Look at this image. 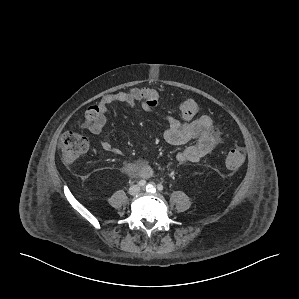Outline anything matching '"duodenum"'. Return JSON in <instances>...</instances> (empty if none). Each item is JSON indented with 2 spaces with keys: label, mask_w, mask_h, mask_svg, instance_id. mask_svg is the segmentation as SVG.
<instances>
[{
  "label": "duodenum",
  "mask_w": 299,
  "mask_h": 299,
  "mask_svg": "<svg viewBox=\"0 0 299 299\" xmlns=\"http://www.w3.org/2000/svg\"><path fill=\"white\" fill-rule=\"evenodd\" d=\"M126 171L130 174H133L135 172V167L133 165H127Z\"/></svg>",
  "instance_id": "obj_1"
}]
</instances>
